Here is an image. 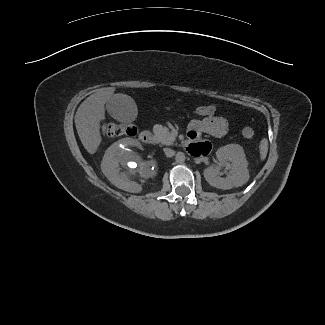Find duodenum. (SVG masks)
<instances>
[{
    "label": "duodenum",
    "instance_id": "obj_1",
    "mask_svg": "<svg viewBox=\"0 0 325 325\" xmlns=\"http://www.w3.org/2000/svg\"><path fill=\"white\" fill-rule=\"evenodd\" d=\"M139 140L144 144H151L153 143L154 136L151 131L144 130L140 133Z\"/></svg>",
    "mask_w": 325,
    "mask_h": 325
}]
</instances>
